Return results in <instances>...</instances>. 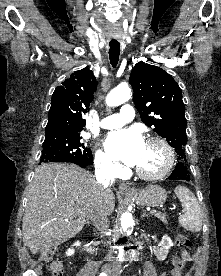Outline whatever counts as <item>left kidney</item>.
I'll use <instances>...</instances> for the list:
<instances>
[{
  "label": "left kidney",
  "instance_id": "obj_1",
  "mask_svg": "<svg viewBox=\"0 0 221 276\" xmlns=\"http://www.w3.org/2000/svg\"><path fill=\"white\" fill-rule=\"evenodd\" d=\"M173 246V242L167 235H164L162 241L159 243V247H154V254L157 259L163 261L166 259L169 249Z\"/></svg>",
  "mask_w": 221,
  "mask_h": 276
}]
</instances>
